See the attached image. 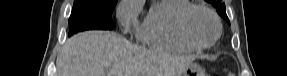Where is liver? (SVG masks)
<instances>
[{"instance_id": "obj_1", "label": "liver", "mask_w": 287, "mask_h": 76, "mask_svg": "<svg viewBox=\"0 0 287 76\" xmlns=\"http://www.w3.org/2000/svg\"><path fill=\"white\" fill-rule=\"evenodd\" d=\"M194 57L149 51L107 31L78 33L56 59L57 76H181Z\"/></svg>"}]
</instances>
